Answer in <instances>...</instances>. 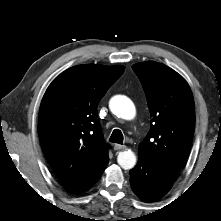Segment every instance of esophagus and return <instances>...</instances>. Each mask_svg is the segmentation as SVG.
Segmentation results:
<instances>
[{
  "label": "esophagus",
  "mask_w": 221,
  "mask_h": 221,
  "mask_svg": "<svg viewBox=\"0 0 221 221\" xmlns=\"http://www.w3.org/2000/svg\"><path fill=\"white\" fill-rule=\"evenodd\" d=\"M126 146L125 145H121V144H115L114 145V150H122L125 149Z\"/></svg>",
  "instance_id": "esophagus-1"
}]
</instances>
